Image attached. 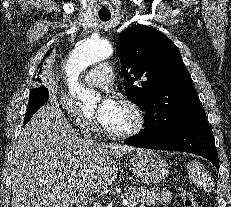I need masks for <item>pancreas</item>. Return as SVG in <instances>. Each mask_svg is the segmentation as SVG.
I'll list each match as a JSON object with an SVG mask.
<instances>
[{
  "mask_svg": "<svg viewBox=\"0 0 231 207\" xmlns=\"http://www.w3.org/2000/svg\"><path fill=\"white\" fill-rule=\"evenodd\" d=\"M123 196L129 201L132 207L138 205L144 207L150 206L156 203L165 204L169 203L172 198V193L166 189H160L158 187L153 188H136L127 186L124 188ZM97 207V206H94Z\"/></svg>",
  "mask_w": 231,
  "mask_h": 207,
  "instance_id": "pancreas-1",
  "label": "pancreas"
}]
</instances>
